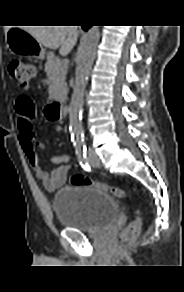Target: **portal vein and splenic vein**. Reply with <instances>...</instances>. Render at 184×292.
Wrapping results in <instances>:
<instances>
[{
    "label": "portal vein and splenic vein",
    "mask_w": 184,
    "mask_h": 292,
    "mask_svg": "<svg viewBox=\"0 0 184 292\" xmlns=\"http://www.w3.org/2000/svg\"><path fill=\"white\" fill-rule=\"evenodd\" d=\"M68 62L67 61H63V66L64 68H67Z\"/></svg>",
    "instance_id": "1"
}]
</instances>
